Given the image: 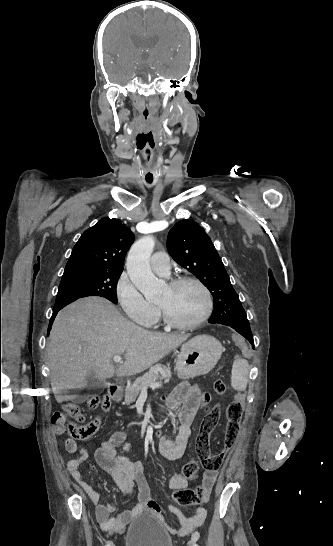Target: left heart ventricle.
Instances as JSON below:
<instances>
[{
    "instance_id": "obj_1",
    "label": "left heart ventricle",
    "mask_w": 333,
    "mask_h": 546,
    "mask_svg": "<svg viewBox=\"0 0 333 546\" xmlns=\"http://www.w3.org/2000/svg\"><path fill=\"white\" fill-rule=\"evenodd\" d=\"M158 305L162 306L176 321L190 323L202 314L205 297L200 288L194 284H183L177 288L168 286Z\"/></svg>"
}]
</instances>
